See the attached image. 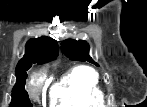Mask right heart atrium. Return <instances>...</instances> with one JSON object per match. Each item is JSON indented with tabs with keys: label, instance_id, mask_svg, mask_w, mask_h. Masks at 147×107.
I'll use <instances>...</instances> for the list:
<instances>
[{
	"label": "right heart atrium",
	"instance_id": "1",
	"mask_svg": "<svg viewBox=\"0 0 147 107\" xmlns=\"http://www.w3.org/2000/svg\"><path fill=\"white\" fill-rule=\"evenodd\" d=\"M40 89H41V80L36 79L34 82L33 89H32L33 95L36 96V94L40 91Z\"/></svg>",
	"mask_w": 147,
	"mask_h": 107
}]
</instances>
